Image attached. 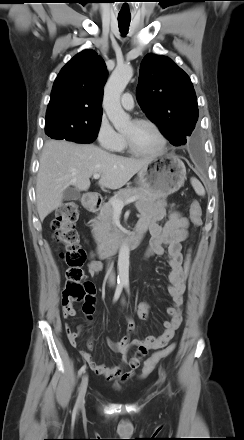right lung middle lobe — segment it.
Segmentation results:
<instances>
[{"label": "right lung middle lobe", "instance_id": "1", "mask_svg": "<svg viewBox=\"0 0 244 440\" xmlns=\"http://www.w3.org/2000/svg\"><path fill=\"white\" fill-rule=\"evenodd\" d=\"M101 121L89 124L68 121H46L45 132L52 139H65L77 143H91L98 135Z\"/></svg>", "mask_w": 244, "mask_h": 440}]
</instances>
